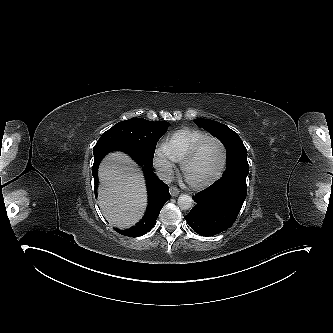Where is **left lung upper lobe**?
<instances>
[{"label": "left lung upper lobe", "instance_id": "5c2ea615", "mask_svg": "<svg viewBox=\"0 0 333 333\" xmlns=\"http://www.w3.org/2000/svg\"><path fill=\"white\" fill-rule=\"evenodd\" d=\"M195 122L197 126L211 132L226 148L227 169L220 179L225 182H233L235 180L246 181V177L249 173L247 150L237 133L226 125L213 120L195 119Z\"/></svg>", "mask_w": 333, "mask_h": 333}]
</instances>
